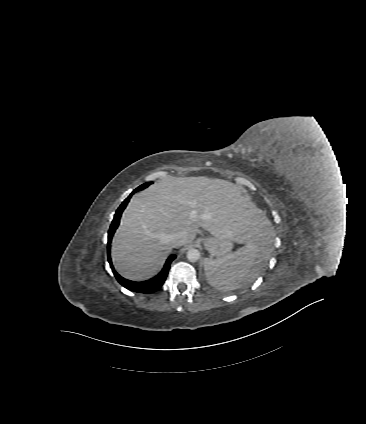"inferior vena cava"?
I'll use <instances>...</instances> for the list:
<instances>
[{
    "instance_id": "inferior-vena-cava-1",
    "label": "inferior vena cava",
    "mask_w": 366,
    "mask_h": 424,
    "mask_svg": "<svg viewBox=\"0 0 366 424\" xmlns=\"http://www.w3.org/2000/svg\"><path fill=\"white\" fill-rule=\"evenodd\" d=\"M187 240V234L185 231H179L170 236V244L173 247H178L185 243Z\"/></svg>"
}]
</instances>
